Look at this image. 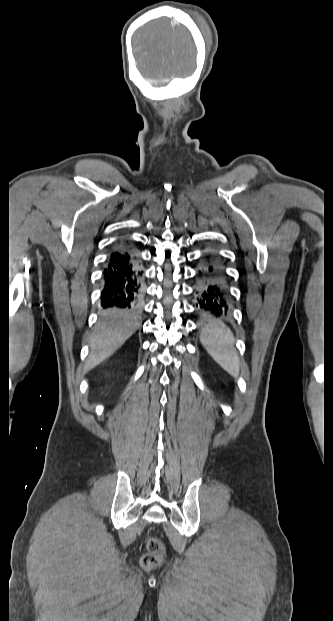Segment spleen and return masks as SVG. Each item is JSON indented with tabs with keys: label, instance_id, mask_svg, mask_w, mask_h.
Wrapping results in <instances>:
<instances>
[{
	"label": "spleen",
	"instance_id": "spleen-1",
	"mask_svg": "<svg viewBox=\"0 0 333 621\" xmlns=\"http://www.w3.org/2000/svg\"><path fill=\"white\" fill-rule=\"evenodd\" d=\"M200 342L224 370L234 377L239 376L240 361L230 328L221 321L213 320L202 329Z\"/></svg>",
	"mask_w": 333,
	"mask_h": 621
}]
</instances>
